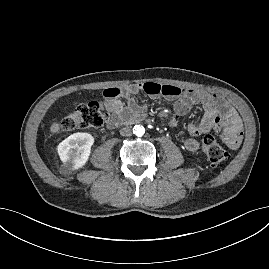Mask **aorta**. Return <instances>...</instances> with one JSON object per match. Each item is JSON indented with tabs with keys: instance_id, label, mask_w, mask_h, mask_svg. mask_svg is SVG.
<instances>
[{
	"instance_id": "1",
	"label": "aorta",
	"mask_w": 269,
	"mask_h": 269,
	"mask_svg": "<svg viewBox=\"0 0 269 269\" xmlns=\"http://www.w3.org/2000/svg\"><path fill=\"white\" fill-rule=\"evenodd\" d=\"M133 132L137 136H142L145 133V128L142 125H135Z\"/></svg>"
}]
</instances>
